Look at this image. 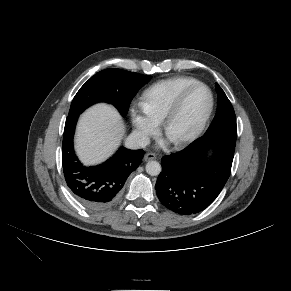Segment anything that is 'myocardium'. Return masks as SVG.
Instances as JSON below:
<instances>
[{
  "label": "myocardium",
  "mask_w": 291,
  "mask_h": 291,
  "mask_svg": "<svg viewBox=\"0 0 291 291\" xmlns=\"http://www.w3.org/2000/svg\"><path fill=\"white\" fill-rule=\"evenodd\" d=\"M198 88H204L207 90V92L209 94V105H208V108H207L204 116L202 117L200 123L198 124V126L196 127V129L192 133H190L188 136H186L184 138L172 141L174 146H176L178 148H184V147L190 145L204 131V129H205L210 117H211V114L213 112V108H214V95H213L212 90L210 89V87L208 85H206L202 82H198V83H195V84L187 87L177 97V99L174 101V103L169 108V110L167 111L166 115L164 116V118L162 120V131L166 135L172 120L174 119V117L177 115V113L181 109L182 105L184 104V102L187 99V97L189 96V94Z\"/></svg>",
  "instance_id": "1"
}]
</instances>
